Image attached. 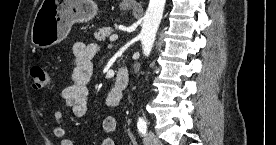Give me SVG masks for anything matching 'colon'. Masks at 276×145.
Wrapping results in <instances>:
<instances>
[{
    "instance_id": "5ec220e1",
    "label": "colon",
    "mask_w": 276,
    "mask_h": 145,
    "mask_svg": "<svg viewBox=\"0 0 276 145\" xmlns=\"http://www.w3.org/2000/svg\"><path fill=\"white\" fill-rule=\"evenodd\" d=\"M30 76L32 79V86L36 90H43L50 84V77L47 71L41 66H33L30 70Z\"/></svg>"
}]
</instances>
